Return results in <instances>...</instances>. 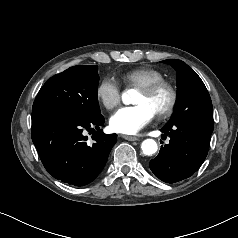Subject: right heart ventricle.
I'll return each mask as SVG.
<instances>
[{"label":"right heart ventricle","instance_id":"right-heart-ventricle-1","mask_svg":"<svg viewBox=\"0 0 238 238\" xmlns=\"http://www.w3.org/2000/svg\"><path fill=\"white\" fill-rule=\"evenodd\" d=\"M122 80L127 85L143 87L158 80H162L163 74L151 67H139L126 71L121 75Z\"/></svg>","mask_w":238,"mask_h":238}]
</instances>
